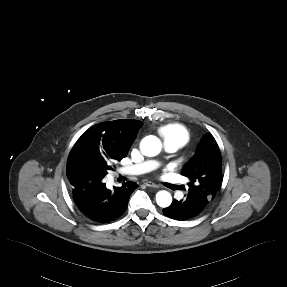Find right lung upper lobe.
I'll use <instances>...</instances> for the list:
<instances>
[{"label":"right lung upper lobe","mask_w":287,"mask_h":287,"mask_svg":"<svg viewBox=\"0 0 287 287\" xmlns=\"http://www.w3.org/2000/svg\"><path fill=\"white\" fill-rule=\"evenodd\" d=\"M142 122L138 120H115L94 125L79 138L87 145L110 150L126 157Z\"/></svg>","instance_id":"cb5924a9"}]
</instances>
